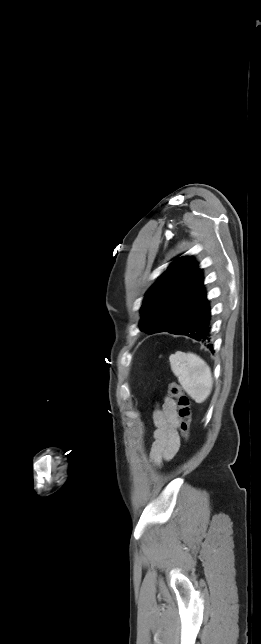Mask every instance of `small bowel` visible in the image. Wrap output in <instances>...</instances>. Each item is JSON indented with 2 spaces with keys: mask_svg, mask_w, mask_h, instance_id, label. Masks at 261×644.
<instances>
[{
  "mask_svg": "<svg viewBox=\"0 0 261 644\" xmlns=\"http://www.w3.org/2000/svg\"><path fill=\"white\" fill-rule=\"evenodd\" d=\"M153 423L155 428L149 456L154 465L160 466L171 460L180 447L176 403L171 397H166L154 410Z\"/></svg>",
  "mask_w": 261,
  "mask_h": 644,
  "instance_id": "small-bowel-1",
  "label": "small bowel"
}]
</instances>
